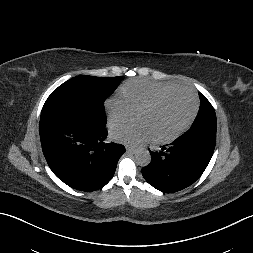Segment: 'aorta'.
Segmentation results:
<instances>
[{"label":"aorta","instance_id":"aorta-1","mask_svg":"<svg viewBox=\"0 0 253 253\" xmlns=\"http://www.w3.org/2000/svg\"><path fill=\"white\" fill-rule=\"evenodd\" d=\"M135 161L137 165L145 167L151 162L150 152L146 148H139L135 152Z\"/></svg>","mask_w":253,"mask_h":253}]
</instances>
